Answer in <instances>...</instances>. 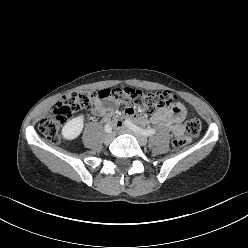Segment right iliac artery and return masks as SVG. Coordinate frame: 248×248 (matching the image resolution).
<instances>
[{
    "instance_id": "82829eb1",
    "label": "right iliac artery",
    "mask_w": 248,
    "mask_h": 248,
    "mask_svg": "<svg viewBox=\"0 0 248 248\" xmlns=\"http://www.w3.org/2000/svg\"><path fill=\"white\" fill-rule=\"evenodd\" d=\"M104 129H105V131H106L107 133H111V132H112V127H111L110 124H106L105 127H104Z\"/></svg>"
}]
</instances>
